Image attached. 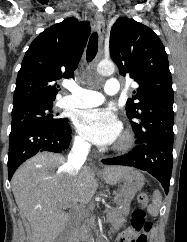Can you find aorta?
<instances>
[{"label": "aorta", "instance_id": "aorta-1", "mask_svg": "<svg viewBox=\"0 0 187 242\" xmlns=\"http://www.w3.org/2000/svg\"><path fill=\"white\" fill-rule=\"evenodd\" d=\"M115 66L111 61H101L97 65V72L101 75L107 76L113 74Z\"/></svg>", "mask_w": 187, "mask_h": 242}]
</instances>
